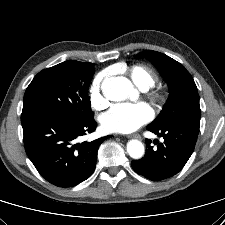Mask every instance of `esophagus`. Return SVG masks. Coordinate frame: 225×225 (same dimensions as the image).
<instances>
[{
    "instance_id": "obj_1",
    "label": "esophagus",
    "mask_w": 225,
    "mask_h": 225,
    "mask_svg": "<svg viewBox=\"0 0 225 225\" xmlns=\"http://www.w3.org/2000/svg\"><path fill=\"white\" fill-rule=\"evenodd\" d=\"M128 138H136V139H139V140L142 139L141 136L138 135V134L129 135Z\"/></svg>"
}]
</instances>
